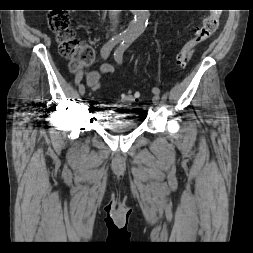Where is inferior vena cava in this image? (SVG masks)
<instances>
[{
	"mask_svg": "<svg viewBox=\"0 0 253 253\" xmlns=\"http://www.w3.org/2000/svg\"><path fill=\"white\" fill-rule=\"evenodd\" d=\"M110 23H111V31L112 32H116L118 23H119V19H118V10H111L110 13Z\"/></svg>",
	"mask_w": 253,
	"mask_h": 253,
	"instance_id": "1",
	"label": "inferior vena cava"
}]
</instances>
